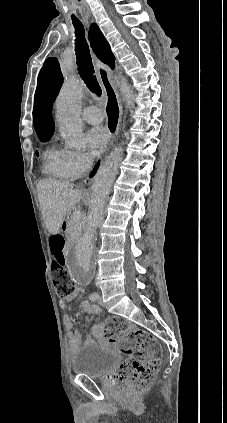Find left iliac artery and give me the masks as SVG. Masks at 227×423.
<instances>
[{"mask_svg": "<svg viewBox=\"0 0 227 423\" xmlns=\"http://www.w3.org/2000/svg\"><path fill=\"white\" fill-rule=\"evenodd\" d=\"M99 295L97 293H91L89 298L91 301H96L98 299Z\"/></svg>", "mask_w": 227, "mask_h": 423, "instance_id": "44dca946", "label": "left iliac artery"}]
</instances>
